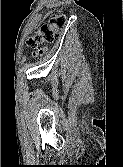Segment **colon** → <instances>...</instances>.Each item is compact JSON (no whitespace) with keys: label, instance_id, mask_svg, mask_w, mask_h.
Returning a JSON list of instances; mask_svg holds the SVG:
<instances>
[{"label":"colon","instance_id":"5ec220e1","mask_svg":"<svg viewBox=\"0 0 123 167\" xmlns=\"http://www.w3.org/2000/svg\"><path fill=\"white\" fill-rule=\"evenodd\" d=\"M66 24L65 16L62 13H54L47 23L43 24L39 30L29 38L28 44L36 50L38 56L46 52L48 45L54 43L57 34Z\"/></svg>","mask_w":123,"mask_h":167}]
</instances>
